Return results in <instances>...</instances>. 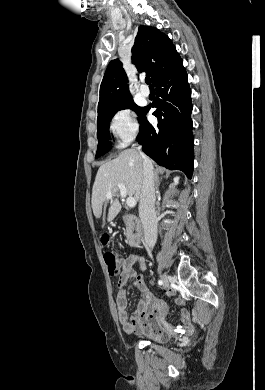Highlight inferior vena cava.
Segmentation results:
<instances>
[{
    "label": "inferior vena cava",
    "instance_id": "602c4592",
    "mask_svg": "<svg viewBox=\"0 0 265 390\" xmlns=\"http://www.w3.org/2000/svg\"><path fill=\"white\" fill-rule=\"evenodd\" d=\"M143 160L144 179L141 188L139 203V217L141 219L147 248H153L157 241V217L155 213L154 171L150 159L138 147Z\"/></svg>",
    "mask_w": 265,
    "mask_h": 390
}]
</instances>
